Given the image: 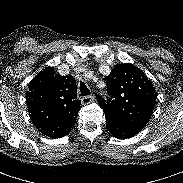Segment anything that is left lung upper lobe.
<instances>
[{"mask_svg": "<svg viewBox=\"0 0 183 183\" xmlns=\"http://www.w3.org/2000/svg\"><path fill=\"white\" fill-rule=\"evenodd\" d=\"M105 81L110 98L98 99L105 118L144 127L154 110L157 93L142 70L130 63L118 64Z\"/></svg>", "mask_w": 183, "mask_h": 183, "instance_id": "left-lung-upper-lobe-1", "label": "left lung upper lobe"}]
</instances>
